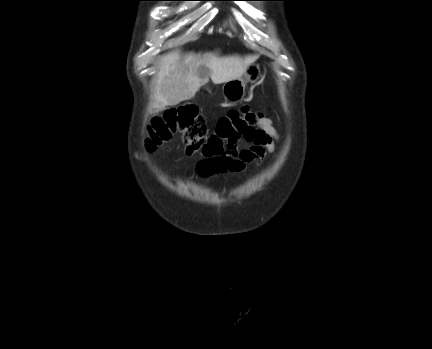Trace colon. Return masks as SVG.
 Instances as JSON below:
<instances>
[{"mask_svg": "<svg viewBox=\"0 0 432 349\" xmlns=\"http://www.w3.org/2000/svg\"><path fill=\"white\" fill-rule=\"evenodd\" d=\"M262 116L249 106L230 110L219 118L215 131L207 136V125L197 107L191 104L166 110L152 120L146 146L154 150L175 135H181L187 154L201 153L203 162L222 167L221 160L231 153Z\"/></svg>", "mask_w": 432, "mask_h": 349, "instance_id": "colon-1", "label": "colon"}]
</instances>
